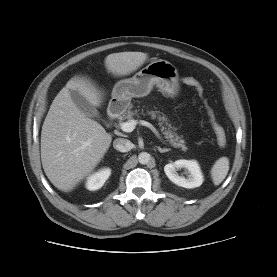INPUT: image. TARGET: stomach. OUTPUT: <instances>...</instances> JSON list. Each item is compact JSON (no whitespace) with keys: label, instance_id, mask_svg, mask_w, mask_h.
Returning a JSON list of instances; mask_svg holds the SVG:
<instances>
[{"label":"stomach","instance_id":"stomach-1","mask_svg":"<svg viewBox=\"0 0 277 277\" xmlns=\"http://www.w3.org/2000/svg\"><path fill=\"white\" fill-rule=\"evenodd\" d=\"M178 71L176 67L162 59L149 63L132 78L118 81L112 90L109 108L117 113L124 112L133 97L148 95L153 86L168 97H175L179 92Z\"/></svg>","mask_w":277,"mask_h":277}]
</instances>
